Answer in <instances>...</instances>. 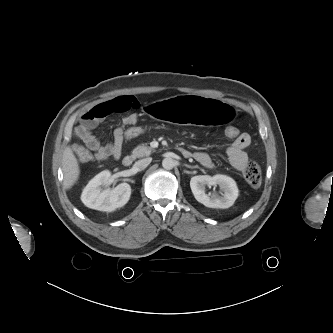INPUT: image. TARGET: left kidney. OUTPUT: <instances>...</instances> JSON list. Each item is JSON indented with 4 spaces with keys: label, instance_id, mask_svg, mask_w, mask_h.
Masks as SVG:
<instances>
[{
    "label": "left kidney",
    "instance_id": "1",
    "mask_svg": "<svg viewBox=\"0 0 333 333\" xmlns=\"http://www.w3.org/2000/svg\"><path fill=\"white\" fill-rule=\"evenodd\" d=\"M219 185L222 196L206 194V186ZM190 187L195 199L209 208L226 209L231 207L238 197L236 182L226 175H199L190 180Z\"/></svg>",
    "mask_w": 333,
    "mask_h": 333
}]
</instances>
